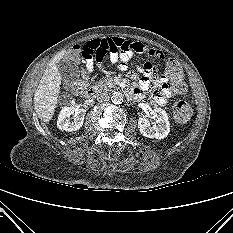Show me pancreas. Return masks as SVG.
<instances>
[{
	"label": "pancreas",
	"mask_w": 233,
	"mask_h": 233,
	"mask_svg": "<svg viewBox=\"0 0 233 233\" xmlns=\"http://www.w3.org/2000/svg\"><path fill=\"white\" fill-rule=\"evenodd\" d=\"M94 87L101 91H110L111 89L116 87V83L112 78H105L99 80Z\"/></svg>",
	"instance_id": "1"
}]
</instances>
